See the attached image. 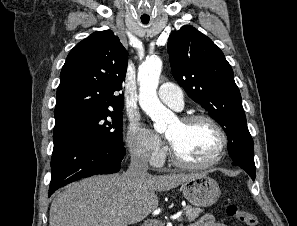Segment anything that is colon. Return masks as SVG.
<instances>
[{"instance_id": "obj_1", "label": "colon", "mask_w": 297, "mask_h": 226, "mask_svg": "<svg viewBox=\"0 0 297 226\" xmlns=\"http://www.w3.org/2000/svg\"><path fill=\"white\" fill-rule=\"evenodd\" d=\"M227 214L231 217H236L245 226H255L257 224V217L255 214L241 210L235 204L228 205Z\"/></svg>"}]
</instances>
